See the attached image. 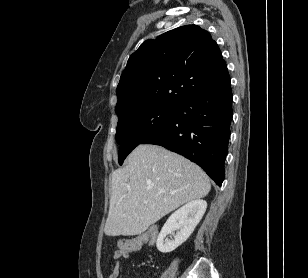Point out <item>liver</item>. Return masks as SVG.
I'll return each mask as SVG.
<instances>
[{
  "instance_id": "1",
  "label": "liver",
  "mask_w": 308,
  "mask_h": 278,
  "mask_svg": "<svg viewBox=\"0 0 308 278\" xmlns=\"http://www.w3.org/2000/svg\"><path fill=\"white\" fill-rule=\"evenodd\" d=\"M127 164L112 173L111 197L104 232L139 235L181 205L205 197L210 181L183 156L161 146L141 144Z\"/></svg>"
}]
</instances>
